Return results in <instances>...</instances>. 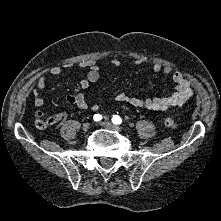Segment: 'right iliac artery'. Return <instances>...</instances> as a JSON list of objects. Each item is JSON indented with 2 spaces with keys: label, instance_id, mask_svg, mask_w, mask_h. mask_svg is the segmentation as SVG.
<instances>
[{
  "label": "right iliac artery",
  "instance_id": "1",
  "mask_svg": "<svg viewBox=\"0 0 221 221\" xmlns=\"http://www.w3.org/2000/svg\"><path fill=\"white\" fill-rule=\"evenodd\" d=\"M94 121H100L102 119V115L100 114H95L93 117Z\"/></svg>",
  "mask_w": 221,
  "mask_h": 221
}]
</instances>
